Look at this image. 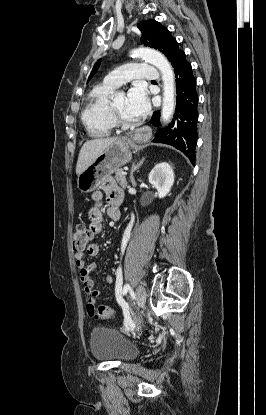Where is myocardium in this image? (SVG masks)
<instances>
[{
	"mask_svg": "<svg viewBox=\"0 0 266 415\" xmlns=\"http://www.w3.org/2000/svg\"><path fill=\"white\" fill-rule=\"evenodd\" d=\"M110 110H111L112 118L117 126H120L123 128H131L139 124L138 120H135V121L126 120L116 109L114 105V100L110 101Z\"/></svg>",
	"mask_w": 266,
	"mask_h": 415,
	"instance_id": "1",
	"label": "myocardium"
}]
</instances>
